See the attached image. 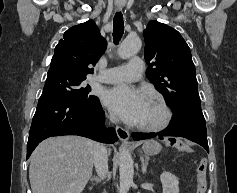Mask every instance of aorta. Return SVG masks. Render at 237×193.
<instances>
[{
  "instance_id": "aorta-1",
  "label": "aorta",
  "mask_w": 237,
  "mask_h": 193,
  "mask_svg": "<svg viewBox=\"0 0 237 193\" xmlns=\"http://www.w3.org/2000/svg\"><path fill=\"white\" fill-rule=\"evenodd\" d=\"M141 39L136 35H129L118 48V56L127 59L135 55L141 48ZM120 193H127L133 183L134 166L127 148L120 149L119 158Z\"/></svg>"
}]
</instances>
